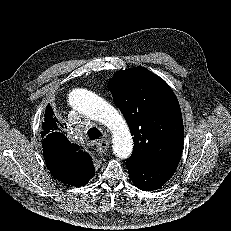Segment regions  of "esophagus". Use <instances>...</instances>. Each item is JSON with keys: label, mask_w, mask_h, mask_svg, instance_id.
I'll use <instances>...</instances> for the list:
<instances>
[{"label": "esophagus", "mask_w": 231, "mask_h": 231, "mask_svg": "<svg viewBox=\"0 0 231 231\" xmlns=\"http://www.w3.org/2000/svg\"><path fill=\"white\" fill-rule=\"evenodd\" d=\"M110 147V142L108 140H99L96 143V150L99 153H104Z\"/></svg>", "instance_id": "34e87169"}]
</instances>
